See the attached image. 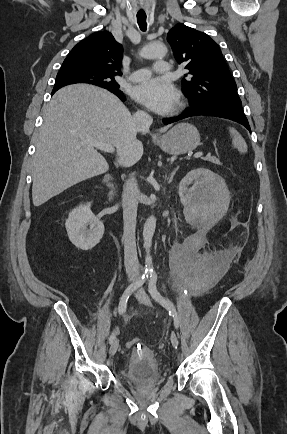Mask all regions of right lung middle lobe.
Returning <instances> with one entry per match:
<instances>
[{"label": "right lung middle lobe", "mask_w": 287, "mask_h": 434, "mask_svg": "<svg viewBox=\"0 0 287 434\" xmlns=\"http://www.w3.org/2000/svg\"><path fill=\"white\" fill-rule=\"evenodd\" d=\"M87 83L108 89L111 92H121L114 80V75L97 73L84 69H61L56 77L55 85Z\"/></svg>", "instance_id": "obj_1"}]
</instances>
